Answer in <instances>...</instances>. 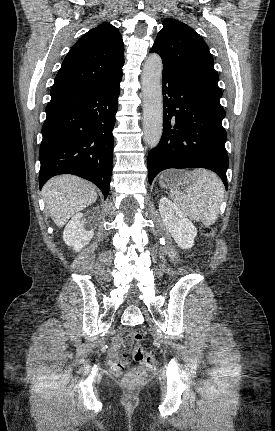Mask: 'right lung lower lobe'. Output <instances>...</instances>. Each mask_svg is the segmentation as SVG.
Here are the masks:
<instances>
[{
    "label": "right lung lower lobe",
    "mask_w": 275,
    "mask_h": 431,
    "mask_svg": "<svg viewBox=\"0 0 275 431\" xmlns=\"http://www.w3.org/2000/svg\"><path fill=\"white\" fill-rule=\"evenodd\" d=\"M51 97L40 146V188L52 176L74 174L108 196L112 175L119 83Z\"/></svg>",
    "instance_id": "98d812e1"
}]
</instances>
